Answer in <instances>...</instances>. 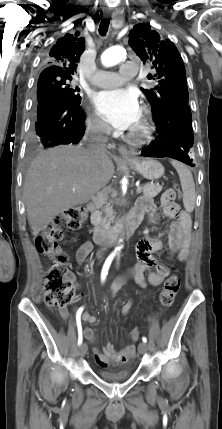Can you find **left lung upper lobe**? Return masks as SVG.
Wrapping results in <instances>:
<instances>
[{"instance_id": "obj_1", "label": "left lung upper lobe", "mask_w": 222, "mask_h": 429, "mask_svg": "<svg viewBox=\"0 0 222 429\" xmlns=\"http://www.w3.org/2000/svg\"><path fill=\"white\" fill-rule=\"evenodd\" d=\"M129 45L144 62H151L156 72L147 77L155 80L157 86L141 88L152 106L153 117H160L172 106L188 104L185 68L175 45L163 40L148 24L134 26L129 32Z\"/></svg>"}]
</instances>
